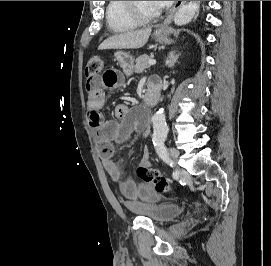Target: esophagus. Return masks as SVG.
Segmentation results:
<instances>
[{"label": "esophagus", "mask_w": 271, "mask_h": 266, "mask_svg": "<svg viewBox=\"0 0 271 266\" xmlns=\"http://www.w3.org/2000/svg\"><path fill=\"white\" fill-rule=\"evenodd\" d=\"M186 1H176L172 11L170 14L167 16L165 21L163 22L162 26L158 29V31H163L167 28V26L171 23L175 12L185 3Z\"/></svg>", "instance_id": "esophagus-1"}]
</instances>
